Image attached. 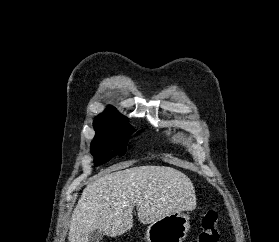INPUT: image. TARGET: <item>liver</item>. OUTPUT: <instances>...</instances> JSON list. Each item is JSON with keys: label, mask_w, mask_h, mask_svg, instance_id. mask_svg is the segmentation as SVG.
<instances>
[{"label": "liver", "mask_w": 279, "mask_h": 242, "mask_svg": "<svg viewBox=\"0 0 279 242\" xmlns=\"http://www.w3.org/2000/svg\"><path fill=\"white\" fill-rule=\"evenodd\" d=\"M113 166L87 185L73 211L69 242H88L93 230L116 237L133 227L136 205L141 223L196 208L190 178L167 166ZM127 168V169H125Z\"/></svg>", "instance_id": "1"}]
</instances>
